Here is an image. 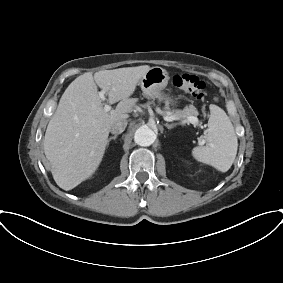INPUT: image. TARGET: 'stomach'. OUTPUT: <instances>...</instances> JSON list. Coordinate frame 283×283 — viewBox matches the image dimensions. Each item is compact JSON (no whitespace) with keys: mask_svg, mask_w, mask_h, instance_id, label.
I'll return each mask as SVG.
<instances>
[{"mask_svg":"<svg viewBox=\"0 0 283 283\" xmlns=\"http://www.w3.org/2000/svg\"><path fill=\"white\" fill-rule=\"evenodd\" d=\"M168 72L162 67H152L140 80V87L148 98H158L165 100L169 104L175 105L176 101L169 95H165L162 91L169 81Z\"/></svg>","mask_w":283,"mask_h":283,"instance_id":"0dacf381","label":"stomach"}]
</instances>
